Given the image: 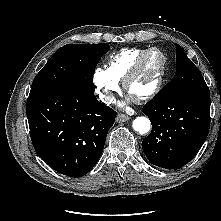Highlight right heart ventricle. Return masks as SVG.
I'll list each match as a JSON object with an SVG mask.
<instances>
[{
	"instance_id": "1",
	"label": "right heart ventricle",
	"mask_w": 221,
	"mask_h": 221,
	"mask_svg": "<svg viewBox=\"0 0 221 221\" xmlns=\"http://www.w3.org/2000/svg\"><path fill=\"white\" fill-rule=\"evenodd\" d=\"M142 48H124L115 53L110 61L108 70L117 80H123L135 60L145 51Z\"/></svg>"
}]
</instances>
